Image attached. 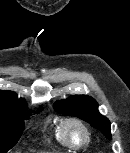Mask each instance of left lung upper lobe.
<instances>
[{"instance_id":"1","label":"left lung upper lobe","mask_w":130,"mask_h":153,"mask_svg":"<svg viewBox=\"0 0 130 153\" xmlns=\"http://www.w3.org/2000/svg\"><path fill=\"white\" fill-rule=\"evenodd\" d=\"M57 112L66 116H75L100 130L108 139H111L110 121L98 112L97 102L90 96L75 95L55 103Z\"/></svg>"}]
</instances>
